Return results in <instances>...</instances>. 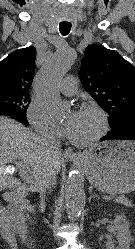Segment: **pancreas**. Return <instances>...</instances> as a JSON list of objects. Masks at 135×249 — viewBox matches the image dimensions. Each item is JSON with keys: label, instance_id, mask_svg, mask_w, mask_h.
Returning <instances> with one entry per match:
<instances>
[{"label": "pancreas", "instance_id": "obj_1", "mask_svg": "<svg viewBox=\"0 0 135 249\" xmlns=\"http://www.w3.org/2000/svg\"><path fill=\"white\" fill-rule=\"evenodd\" d=\"M114 201L116 203L123 204L126 206H132V203L128 200V198H126L124 196L115 197Z\"/></svg>", "mask_w": 135, "mask_h": 249}]
</instances>
